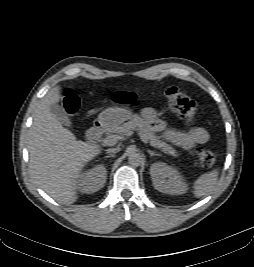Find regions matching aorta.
<instances>
[{
    "instance_id": "1",
    "label": "aorta",
    "mask_w": 254,
    "mask_h": 267,
    "mask_svg": "<svg viewBox=\"0 0 254 267\" xmlns=\"http://www.w3.org/2000/svg\"><path fill=\"white\" fill-rule=\"evenodd\" d=\"M143 161L141 153H139L135 148H130L128 152V162L131 166L137 167Z\"/></svg>"
}]
</instances>
